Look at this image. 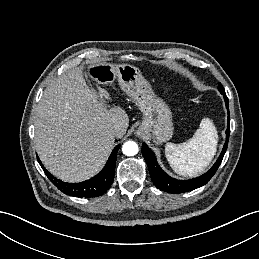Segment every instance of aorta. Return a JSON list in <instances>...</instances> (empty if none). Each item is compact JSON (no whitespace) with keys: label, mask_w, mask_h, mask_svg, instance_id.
<instances>
[{"label":"aorta","mask_w":259,"mask_h":259,"mask_svg":"<svg viewBox=\"0 0 259 259\" xmlns=\"http://www.w3.org/2000/svg\"><path fill=\"white\" fill-rule=\"evenodd\" d=\"M122 152L127 156H134L138 153V145L133 141H127L122 146Z\"/></svg>","instance_id":"762f6f07"}]
</instances>
